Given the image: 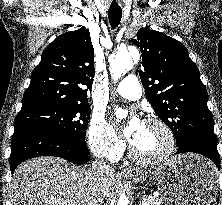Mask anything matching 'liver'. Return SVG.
<instances>
[{
  "label": "liver",
  "mask_w": 222,
  "mask_h": 205,
  "mask_svg": "<svg viewBox=\"0 0 222 205\" xmlns=\"http://www.w3.org/2000/svg\"><path fill=\"white\" fill-rule=\"evenodd\" d=\"M120 178L112 170L97 173L59 157L28 160L14 171L11 205H102Z\"/></svg>",
  "instance_id": "obj_1"
}]
</instances>
